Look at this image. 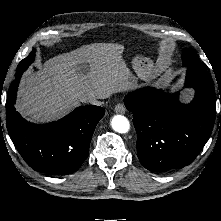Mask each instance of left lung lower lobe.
Returning <instances> with one entry per match:
<instances>
[{
  "instance_id": "left-lung-lower-lobe-1",
  "label": "left lung lower lobe",
  "mask_w": 221,
  "mask_h": 221,
  "mask_svg": "<svg viewBox=\"0 0 221 221\" xmlns=\"http://www.w3.org/2000/svg\"><path fill=\"white\" fill-rule=\"evenodd\" d=\"M185 86L196 91L188 105L178 102V93L166 96L146 87L124 99L134 116L138 158L150 171L189 165L211 135L216 114L212 78L205 69L188 67Z\"/></svg>"
}]
</instances>
